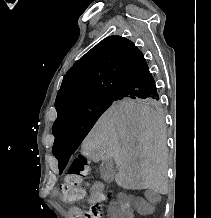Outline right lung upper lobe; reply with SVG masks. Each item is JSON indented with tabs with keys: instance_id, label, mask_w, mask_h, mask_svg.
I'll use <instances>...</instances> for the list:
<instances>
[{
	"instance_id": "obj_1",
	"label": "right lung upper lobe",
	"mask_w": 211,
	"mask_h": 218,
	"mask_svg": "<svg viewBox=\"0 0 211 218\" xmlns=\"http://www.w3.org/2000/svg\"><path fill=\"white\" fill-rule=\"evenodd\" d=\"M146 60L128 39L109 36L81 57L66 73L55 101L58 116L91 98L117 94Z\"/></svg>"
}]
</instances>
